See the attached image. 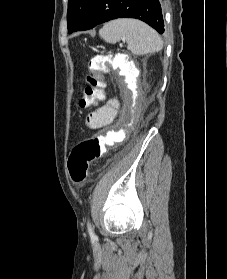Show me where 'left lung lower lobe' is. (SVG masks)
Here are the masks:
<instances>
[{"mask_svg": "<svg viewBox=\"0 0 227 279\" xmlns=\"http://www.w3.org/2000/svg\"><path fill=\"white\" fill-rule=\"evenodd\" d=\"M136 18L164 32V22L158 0H93L80 31L116 18Z\"/></svg>", "mask_w": 227, "mask_h": 279, "instance_id": "left-lung-lower-lobe-1", "label": "left lung lower lobe"}]
</instances>
